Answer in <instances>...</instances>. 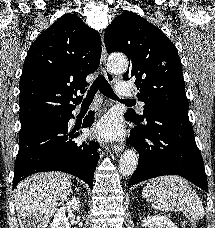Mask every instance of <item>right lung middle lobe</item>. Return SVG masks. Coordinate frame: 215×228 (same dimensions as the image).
<instances>
[{"label": "right lung middle lobe", "mask_w": 215, "mask_h": 228, "mask_svg": "<svg viewBox=\"0 0 215 228\" xmlns=\"http://www.w3.org/2000/svg\"><path fill=\"white\" fill-rule=\"evenodd\" d=\"M63 121V114L62 115H50V116H45L42 118H38L35 120H31L28 122L21 123V130L19 137H22L24 135L30 134L34 132L35 130L57 122Z\"/></svg>", "instance_id": "1"}]
</instances>
